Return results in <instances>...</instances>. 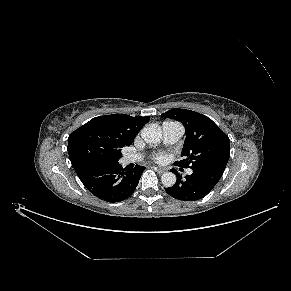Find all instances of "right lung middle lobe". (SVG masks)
<instances>
[{
  "label": "right lung middle lobe",
  "mask_w": 291,
  "mask_h": 291,
  "mask_svg": "<svg viewBox=\"0 0 291 291\" xmlns=\"http://www.w3.org/2000/svg\"><path fill=\"white\" fill-rule=\"evenodd\" d=\"M121 152H118V153H110V152H106V151H99V152H96L94 154V159H104V160H108V161H111V162H118V160L120 159L121 157Z\"/></svg>",
  "instance_id": "obj_1"
}]
</instances>
